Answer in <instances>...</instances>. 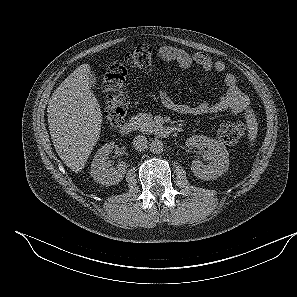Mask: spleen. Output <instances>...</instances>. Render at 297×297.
<instances>
[{
	"label": "spleen",
	"instance_id": "spleen-1",
	"mask_svg": "<svg viewBox=\"0 0 297 297\" xmlns=\"http://www.w3.org/2000/svg\"><path fill=\"white\" fill-rule=\"evenodd\" d=\"M249 123H250L249 137H250L251 140H254L255 136H256V133H257V125H256V122H255V118L253 116H250Z\"/></svg>",
	"mask_w": 297,
	"mask_h": 297
}]
</instances>
